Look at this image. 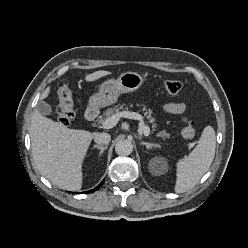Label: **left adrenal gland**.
Segmentation results:
<instances>
[{
    "label": "left adrenal gland",
    "instance_id": "obj_1",
    "mask_svg": "<svg viewBox=\"0 0 248 248\" xmlns=\"http://www.w3.org/2000/svg\"><path fill=\"white\" fill-rule=\"evenodd\" d=\"M141 144L142 145H145L146 146V148L149 150L150 148H155V147H158V145L157 144H155V143H149V142H141Z\"/></svg>",
    "mask_w": 248,
    "mask_h": 248
}]
</instances>
